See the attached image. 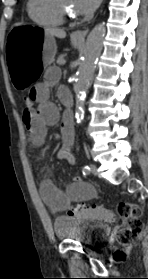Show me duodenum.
Instances as JSON below:
<instances>
[{"label": "duodenum", "instance_id": "1", "mask_svg": "<svg viewBox=\"0 0 148 279\" xmlns=\"http://www.w3.org/2000/svg\"><path fill=\"white\" fill-rule=\"evenodd\" d=\"M63 103H64V105L69 104L70 107L72 106V102H71L70 99H65V100L63 101Z\"/></svg>", "mask_w": 148, "mask_h": 279}]
</instances>
